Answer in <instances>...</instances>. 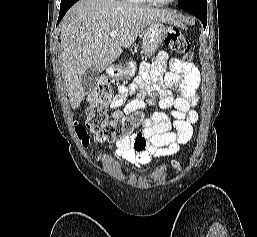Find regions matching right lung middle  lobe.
Returning a JSON list of instances; mask_svg holds the SVG:
<instances>
[{
	"instance_id": "obj_1",
	"label": "right lung middle lobe",
	"mask_w": 257,
	"mask_h": 237,
	"mask_svg": "<svg viewBox=\"0 0 257 237\" xmlns=\"http://www.w3.org/2000/svg\"><path fill=\"white\" fill-rule=\"evenodd\" d=\"M77 0H61L60 8L67 7L69 5H72L75 3Z\"/></svg>"
}]
</instances>
